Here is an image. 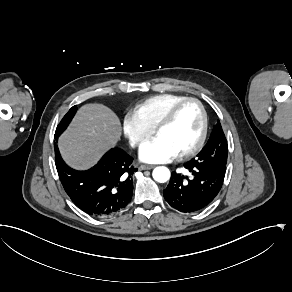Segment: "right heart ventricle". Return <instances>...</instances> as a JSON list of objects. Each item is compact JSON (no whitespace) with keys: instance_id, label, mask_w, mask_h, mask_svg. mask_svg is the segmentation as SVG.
<instances>
[{"instance_id":"1","label":"right heart ventricle","mask_w":292,"mask_h":292,"mask_svg":"<svg viewBox=\"0 0 292 292\" xmlns=\"http://www.w3.org/2000/svg\"><path fill=\"white\" fill-rule=\"evenodd\" d=\"M186 97L178 93L157 94L135 104L133 111L153 129L161 115L169 106Z\"/></svg>"}]
</instances>
